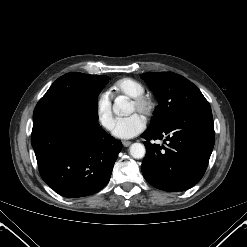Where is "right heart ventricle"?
<instances>
[{
	"label": "right heart ventricle",
	"mask_w": 247,
	"mask_h": 247,
	"mask_svg": "<svg viewBox=\"0 0 247 247\" xmlns=\"http://www.w3.org/2000/svg\"><path fill=\"white\" fill-rule=\"evenodd\" d=\"M111 90L116 95H124L135 98L144 94V86L133 78H121L114 82Z\"/></svg>",
	"instance_id": "obj_1"
}]
</instances>
